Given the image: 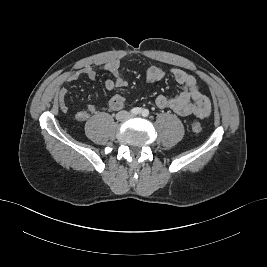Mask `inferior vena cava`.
Here are the masks:
<instances>
[{"label": "inferior vena cava", "instance_id": "inferior-vena-cava-1", "mask_svg": "<svg viewBox=\"0 0 267 267\" xmlns=\"http://www.w3.org/2000/svg\"><path fill=\"white\" fill-rule=\"evenodd\" d=\"M126 115H129V113L125 112Z\"/></svg>", "mask_w": 267, "mask_h": 267}]
</instances>
